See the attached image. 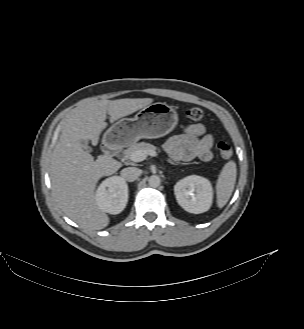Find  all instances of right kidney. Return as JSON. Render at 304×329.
<instances>
[{"label":"right kidney","mask_w":304,"mask_h":329,"mask_svg":"<svg viewBox=\"0 0 304 329\" xmlns=\"http://www.w3.org/2000/svg\"><path fill=\"white\" fill-rule=\"evenodd\" d=\"M95 198L102 211L119 214L128 202V185L119 176L109 177L99 185Z\"/></svg>","instance_id":"1"}]
</instances>
